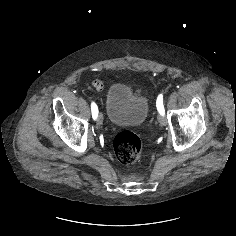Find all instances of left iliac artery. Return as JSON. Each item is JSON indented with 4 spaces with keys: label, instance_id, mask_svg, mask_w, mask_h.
Returning a JSON list of instances; mask_svg holds the SVG:
<instances>
[{
    "label": "left iliac artery",
    "instance_id": "left-iliac-artery-1",
    "mask_svg": "<svg viewBox=\"0 0 236 236\" xmlns=\"http://www.w3.org/2000/svg\"><path fill=\"white\" fill-rule=\"evenodd\" d=\"M156 107H157L158 112L164 116L165 109H164V105H163V95L162 94H160L157 98Z\"/></svg>",
    "mask_w": 236,
    "mask_h": 236
}]
</instances>
